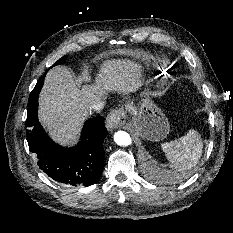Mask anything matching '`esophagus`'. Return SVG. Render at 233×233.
<instances>
[{"instance_id":"obj_1","label":"esophagus","mask_w":233,"mask_h":233,"mask_svg":"<svg viewBox=\"0 0 233 233\" xmlns=\"http://www.w3.org/2000/svg\"><path fill=\"white\" fill-rule=\"evenodd\" d=\"M126 122V114L123 109H115L110 112L106 117V128L113 130L122 127Z\"/></svg>"}]
</instances>
